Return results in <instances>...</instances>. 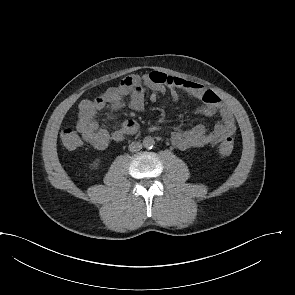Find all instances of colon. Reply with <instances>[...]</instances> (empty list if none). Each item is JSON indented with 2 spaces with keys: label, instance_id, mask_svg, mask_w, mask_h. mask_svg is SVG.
<instances>
[{
  "label": "colon",
  "instance_id": "colon-1",
  "mask_svg": "<svg viewBox=\"0 0 295 295\" xmlns=\"http://www.w3.org/2000/svg\"><path fill=\"white\" fill-rule=\"evenodd\" d=\"M60 137L65 148L69 150L76 149L82 144L77 130L71 127L64 128L61 131ZM233 148L234 140L232 137H228L221 142L218 151L222 156H228L232 153Z\"/></svg>",
  "mask_w": 295,
  "mask_h": 295
}]
</instances>
